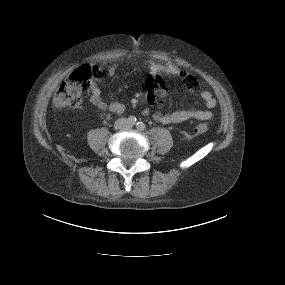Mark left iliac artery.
Here are the masks:
<instances>
[{
  "instance_id": "obj_1",
  "label": "left iliac artery",
  "mask_w": 285,
  "mask_h": 285,
  "mask_svg": "<svg viewBox=\"0 0 285 285\" xmlns=\"http://www.w3.org/2000/svg\"><path fill=\"white\" fill-rule=\"evenodd\" d=\"M136 126L140 131H143L145 129V124L143 122H138Z\"/></svg>"
}]
</instances>
